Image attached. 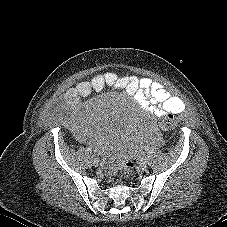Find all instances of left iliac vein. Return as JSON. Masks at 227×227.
I'll use <instances>...</instances> for the list:
<instances>
[{"mask_svg":"<svg viewBox=\"0 0 227 227\" xmlns=\"http://www.w3.org/2000/svg\"><path fill=\"white\" fill-rule=\"evenodd\" d=\"M148 164V159L146 157H142L139 159V166L145 168Z\"/></svg>","mask_w":227,"mask_h":227,"instance_id":"obj_1","label":"left iliac vein"}]
</instances>
